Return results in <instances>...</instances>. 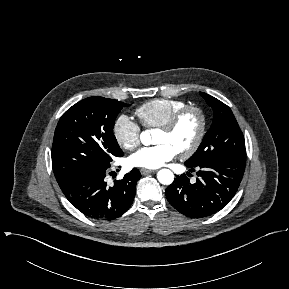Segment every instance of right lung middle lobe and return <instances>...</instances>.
I'll return each mask as SVG.
<instances>
[{
    "label": "right lung middle lobe",
    "instance_id": "obj_1",
    "mask_svg": "<svg viewBox=\"0 0 289 289\" xmlns=\"http://www.w3.org/2000/svg\"><path fill=\"white\" fill-rule=\"evenodd\" d=\"M117 100L89 97L73 105L60 118L52 145V166L59 186L76 175L110 166L121 157L113 134L120 110Z\"/></svg>",
    "mask_w": 289,
    "mask_h": 289
}]
</instances>
